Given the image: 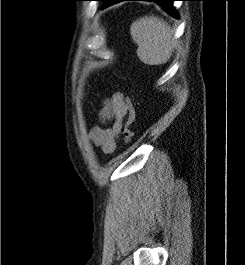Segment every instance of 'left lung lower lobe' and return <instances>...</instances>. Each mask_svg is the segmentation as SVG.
Returning <instances> with one entry per match:
<instances>
[{"label":"left lung lower lobe","instance_id":"0a47b994","mask_svg":"<svg viewBox=\"0 0 245 265\" xmlns=\"http://www.w3.org/2000/svg\"><path fill=\"white\" fill-rule=\"evenodd\" d=\"M121 1H152V2H156L160 6H162L169 14H171L172 16H174L176 18L178 17L175 9L172 7L173 1H177V0H106L103 2V5L101 8L104 9V8H106L112 4H115V3H118Z\"/></svg>","mask_w":245,"mask_h":265}]
</instances>
